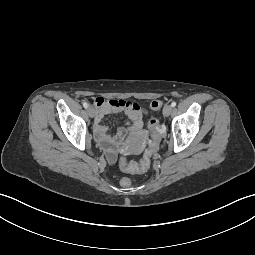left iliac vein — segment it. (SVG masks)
Listing matches in <instances>:
<instances>
[{
    "mask_svg": "<svg viewBox=\"0 0 255 255\" xmlns=\"http://www.w3.org/2000/svg\"><path fill=\"white\" fill-rule=\"evenodd\" d=\"M172 112V106L171 105H165L163 108V115L165 117H168Z\"/></svg>",
    "mask_w": 255,
    "mask_h": 255,
    "instance_id": "1",
    "label": "left iliac vein"
}]
</instances>
